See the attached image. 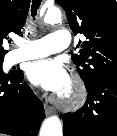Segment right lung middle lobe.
<instances>
[{
    "instance_id": "dd1d6c3e",
    "label": "right lung middle lobe",
    "mask_w": 117,
    "mask_h": 136,
    "mask_svg": "<svg viewBox=\"0 0 117 136\" xmlns=\"http://www.w3.org/2000/svg\"><path fill=\"white\" fill-rule=\"evenodd\" d=\"M3 60L4 59H0V77L1 76H7L6 74L3 73V70H2V66L1 65H2ZM10 74H13V73L10 72L8 75H10Z\"/></svg>"
}]
</instances>
